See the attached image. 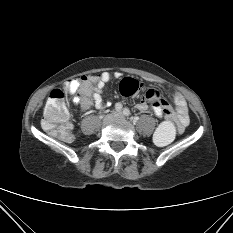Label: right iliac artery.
<instances>
[{"mask_svg":"<svg viewBox=\"0 0 233 233\" xmlns=\"http://www.w3.org/2000/svg\"><path fill=\"white\" fill-rule=\"evenodd\" d=\"M115 108L117 111H120L122 109V105L120 103H117Z\"/></svg>","mask_w":233,"mask_h":233,"instance_id":"1","label":"right iliac artery"}]
</instances>
